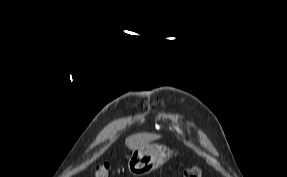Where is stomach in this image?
<instances>
[{
  "label": "stomach",
  "instance_id": "obj_1",
  "mask_svg": "<svg viewBox=\"0 0 287 177\" xmlns=\"http://www.w3.org/2000/svg\"><path fill=\"white\" fill-rule=\"evenodd\" d=\"M171 155V151L164 145L148 143L134 149L129 161V172L135 176L146 175L164 164Z\"/></svg>",
  "mask_w": 287,
  "mask_h": 177
}]
</instances>
